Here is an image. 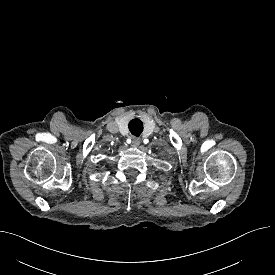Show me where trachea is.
Segmentation results:
<instances>
[{
  "label": "trachea",
  "instance_id": "1",
  "mask_svg": "<svg viewBox=\"0 0 275 275\" xmlns=\"http://www.w3.org/2000/svg\"><path fill=\"white\" fill-rule=\"evenodd\" d=\"M129 130L133 135L139 136L143 131V123L139 119H133L129 123Z\"/></svg>",
  "mask_w": 275,
  "mask_h": 275
}]
</instances>
